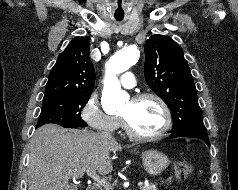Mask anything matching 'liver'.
Segmentation results:
<instances>
[{"mask_svg": "<svg viewBox=\"0 0 238 190\" xmlns=\"http://www.w3.org/2000/svg\"><path fill=\"white\" fill-rule=\"evenodd\" d=\"M122 150L115 140L77 129L47 124L30 142L28 190H71L70 178L88 169L107 175L113 170L110 153Z\"/></svg>", "mask_w": 238, "mask_h": 190, "instance_id": "1", "label": "liver"}]
</instances>
